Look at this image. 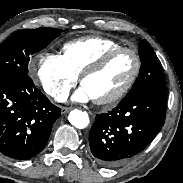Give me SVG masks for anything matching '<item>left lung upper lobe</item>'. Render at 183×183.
<instances>
[{"instance_id":"5c2ea615","label":"left lung upper lobe","mask_w":183,"mask_h":183,"mask_svg":"<svg viewBox=\"0 0 183 183\" xmlns=\"http://www.w3.org/2000/svg\"><path fill=\"white\" fill-rule=\"evenodd\" d=\"M138 51L142 62L140 73L127 96L144 90L166 91L161 63L145 39L139 43Z\"/></svg>"}]
</instances>
